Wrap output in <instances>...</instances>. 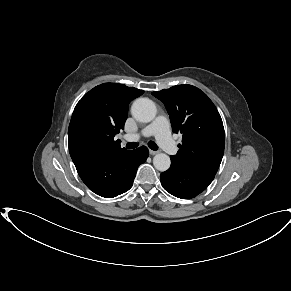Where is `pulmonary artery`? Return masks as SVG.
<instances>
[{"label": "pulmonary artery", "mask_w": 291, "mask_h": 291, "mask_svg": "<svg viewBox=\"0 0 291 291\" xmlns=\"http://www.w3.org/2000/svg\"><path fill=\"white\" fill-rule=\"evenodd\" d=\"M155 136L160 146L170 155L176 154L178 148L172 140L169 131V120L166 116H158L153 122L147 125L140 133L126 134L127 141H137L141 137Z\"/></svg>", "instance_id": "1"}]
</instances>
